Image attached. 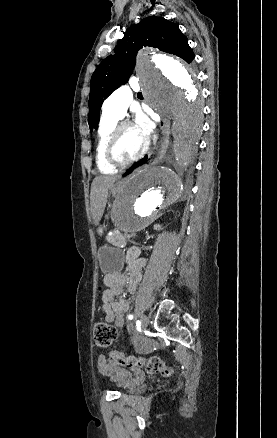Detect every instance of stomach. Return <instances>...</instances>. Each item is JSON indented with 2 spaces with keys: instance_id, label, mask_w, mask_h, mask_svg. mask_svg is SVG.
<instances>
[{
  "instance_id": "obj_1",
  "label": "stomach",
  "mask_w": 277,
  "mask_h": 438,
  "mask_svg": "<svg viewBox=\"0 0 277 438\" xmlns=\"http://www.w3.org/2000/svg\"><path fill=\"white\" fill-rule=\"evenodd\" d=\"M114 193L118 192L116 187H112ZM100 235L103 233V226L98 229ZM98 260L100 268L104 273H114L121 270L123 265V253L118 248L102 246L98 250Z\"/></svg>"
}]
</instances>
